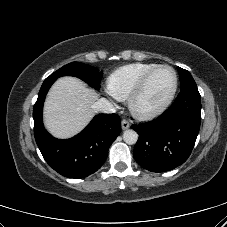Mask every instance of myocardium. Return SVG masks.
Listing matches in <instances>:
<instances>
[{"mask_svg":"<svg viewBox=\"0 0 227 227\" xmlns=\"http://www.w3.org/2000/svg\"><path fill=\"white\" fill-rule=\"evenodd\" d=\"M163 68H168L174 73L175 82H174L172 91L170 92L168 97L158 107H156L152 110H141L138 107V100H139L140 96L144 92V90L147 87L152 76L158 70L163 69ZM178 86H179V76H178L176 69L167 64L157 65L156 67H154L153 69L148 71L140 79V81L138 82V84L133 89L132 93L130 94V96L128 98V106H129L131 113L133 114V116H135L136 118H138L140 120H151V119H154V118L160 116L169 108V106L173 102L175 95L177 93V90H178Z\"/></svg>","mask_w":227,"mask_h":227,"instance_id":"myocardium-1","label":"myocardium"}]
</instances>
